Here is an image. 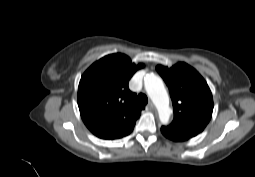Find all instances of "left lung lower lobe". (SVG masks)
<instances>
[{
	"label": "left lung lower lobe",
	"mask_w": 255,
	"mask_h": 177,
	"mask_svg": "<svg viewBox=\"0 0 255 177\" xmlns=\"http://www.w3.org/2000/svg\"><path fill=\"white\" fill-rule=\"evenodd\" d=\"M161 132H162V134H163L165 137L169 138L162 130H161ZM169 139H171V138H169ZM171 140H172V139H171Z\"/></svg>",
	"instance_id": "left-lung-lower-lobe-1"
}]
</instances>
